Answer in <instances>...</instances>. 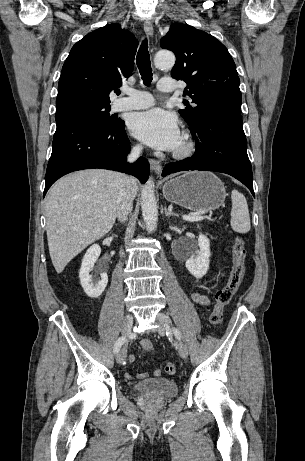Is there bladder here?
Returning a JSON list of instances; mask_svg holds the SVG:
<instances>
[{"instance_id": "31cf9c89", "label": "bladder", "mask_w": 305, "mask_h": 461, "mask_svg": "<svg viewBox=\"0 0 305 461\" xmlns=\"http://www.w3.org/2000/svg\"><path fill=\"white\" fill-rule=\"evenodd\" d=\"M134 391L141 395H151L156 398H167L178 393V385L173 379L152 378L140 381L133 386Z\"/></svg>"}]
</instances>
